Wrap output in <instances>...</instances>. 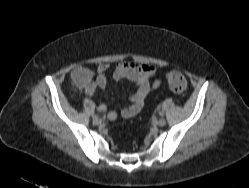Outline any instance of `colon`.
<instances>
[{
	"label": "colon",
	"instance_id": "5ec220e1",
	"mask_svg": "<svg viewBox=\"0 0 249 188\" xmlns=\"http://www.w3.org/2000/svg\"><path fill=\"white\" fill-rule=\"evenodd\" d=\"M82 76L81 74H78L76 76L77 80H81ZM166 80L168 83V86L171 88L172 91L176 93H183L186 90L187 87V81L185 76L178 72V71H170L168 72L166 76Z\"/></svg>",
	"mask_w": 249,
	"mask_h": 188
}]
</instances>
